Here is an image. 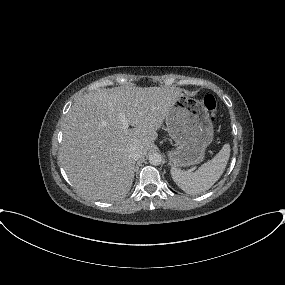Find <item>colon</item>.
I'll list each match as a JSON object with an SVG mask.
<instances>
[{
	"label": "colon",
	"instance_id": "colon-1",
	"mask_svg": "<svg viewBox=\"0 0 285 285\" xmlns=\"http://www.w3.org/2000/svg\"><path fill=\"white\" fill-rule=\"evenodd\" d=\"M203 105L210 112L212 120H214L218 111V105L214 96L206 95L203 99Z\"/></svg>",
	"mask_w": 285,
	"mask_h": 285
}]
</instances>
